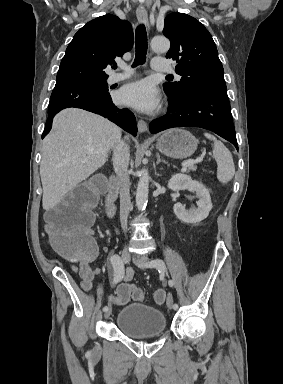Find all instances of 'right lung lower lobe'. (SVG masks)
<instances>
[{"label": "right lung lower lobe", "mask_w": 283, "mask_h": 384, "mask_svg": "<svg viewBox=\"0 0 283 384\" xmlns=\"http://www.w3.org/2000/svg\"><path fill=\"white\" fill-rule=\"evenodd\" d=\"M67 107L82 108L84 110L99 114L105 118H108L110 121L114 122L115 124L123 128L125 131L131 133L132 135H137L136 119L133 113L126 108H117L113 104L110 96L104 99L83 101L61 108H48L49 117L46 121L42 138H44L51 130L52 120L55 114Z\"/></svg>", "instance_id": "98d812e1"}]
</instances>
